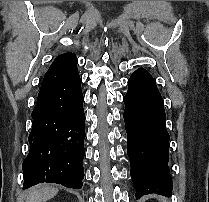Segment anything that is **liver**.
I'll list each match as a JSON object with an SVG mask.
<instances>
[{"mask_svg": "<svg viewBox=\"0 0 209 202\" xmlns=\"http://www.w3.org/2000/svg\"><path fill=\"white\" fill-rule=\"evenodd\" d=\"M58 189L51 186H42L34 188L27 193L26 202H46L54 197Z\"/></svg>", "mask_w": 209, "mask_h": 202, "instance_id": "1", "label": "liver"}]
</instances>
